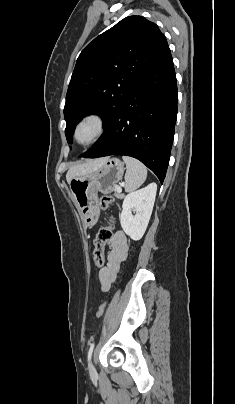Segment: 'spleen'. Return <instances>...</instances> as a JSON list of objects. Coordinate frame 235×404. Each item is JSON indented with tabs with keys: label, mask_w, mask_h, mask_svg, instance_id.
I'll list each match as a JSON object with an SVG mask.
<instances>
[{
	"label": "spleen",
	"mask_w": 235,
	"mask_h": 404,
	"mask_svg": "<svg viewBox=\"0 0 235 404\" xmlns=\"http://www.w3.org/2000/svg\"><path fill=\"white\" fill-rule=\"evenodd\" d=\"M123 161L126 164L125 174V191L131 192L139 188L147 177V169L139 160L123 156Z\"/></svg>",
	"instance_id": "obj_1"
}]
</instances>
